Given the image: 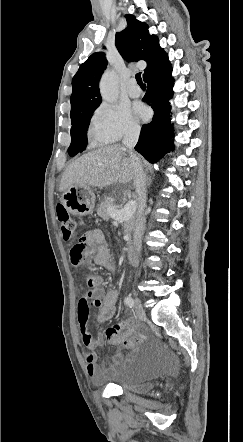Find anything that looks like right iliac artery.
Segmentation results:
<instances>
[{
	"label": "right iliac artery",
	"mask_w": 243,
	"mask_h": 442,
	"mask_svg": "<svg viewBox=\"0 0 243 442\" xmlns=\"http://www.w3.org/2000/svg\"><path fill=\"white\" fill-rule=\"evenodd\" d=\"M124 303H125L129 308H133V306H134V300H133V298H132L131 296H127V297L124 299Z\"/></svg>",
	"instance_id": "1"
}]
</instances>
